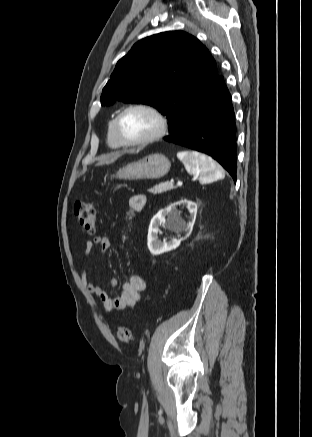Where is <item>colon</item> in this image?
Wrapping results in <instances>:
<instances>
[{
    "instance_id": "1",
    "label": "colon",
    "mask_w": 312,
    "mask_h": 437,
    "mask_svg": "<svg viewBox=\"0 0 312 437\" xmlns=\"http://www.w3.org/2000/svg\"><path fill=\"white\" fill-rule=\"evenodd\" d=\"M74 213L79 225L88 233L92 234L95 230L96 213L91 203L76 202ZM116 336L122 343H131L133 334L128 326H119L116 330Z\"/></svg>"
}]
</instances>
